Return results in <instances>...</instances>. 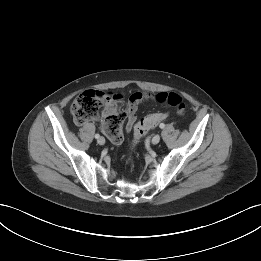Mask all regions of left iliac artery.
Masks as SVG:
<instances>
[{"label": "left iliac artery", "instance_id": "44dca946", "mask_svg": "<svg viewBox=\"0 0 261 261\" xmlns=\"http://www.w3.org/2000/svg\"><path fill=\"white\" fill-rule=\"evenodd\" d=\"M159 127H160L161 129H163V128L165 127L164 123H161V124L159 125Z\"/></svg>", "mask_w": 261, "mask_h": 261}]
</instances>
